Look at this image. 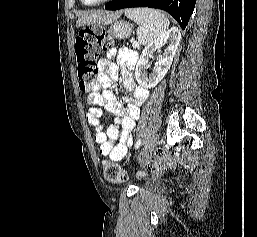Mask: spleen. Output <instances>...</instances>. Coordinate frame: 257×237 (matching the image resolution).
<instances>
[{
	"label": "spleen",
	"instance_id": "spleen-1",
	"mask_svg": "<svg viewBox=\"0 0 257 237\" xmlns=\"http://www.w3.org/2000/svg\"><path fill=\"white\" fill-rule=\"evenodd\" d=\"M124 13L127 18L134 20L139 25L137 37L141 45L153 42L169 27V20L160 11L154 9H126Z\"/></svg>",
	"mask_w": 257,
	"mask_h": 237
}]
</instances>
